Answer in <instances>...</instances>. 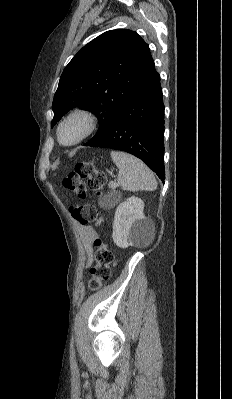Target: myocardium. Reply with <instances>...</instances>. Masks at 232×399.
<instances>
[{
    "label": "myocardium",
    "mask_w": 232,
    "mask_h": 399,
    "mask_svg": "<svg viewBox=\"0 0 232 399\" xmlns=\"http://www.w3.org/2000/svg\"><path fill=\"white\" fill-rule=\"evenodd\" d=\"M83 117L86 121V129L83 132V134L77 138L75 141L70 142V143H64L61 139V129L63 125L71 120L74 117ZM98 126V117L97 114L90 108L88 107H75L71 111H69L64 118L60 121L58 128H57V136L61 144L66 145V146H72L75 144L80 143L81 141L85 140L87 137H89L93 132L96 130Z\"/></svg>",
    "instance_id": "obj_1"
}]
</instances>
